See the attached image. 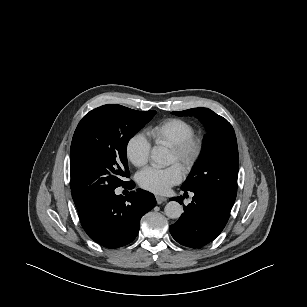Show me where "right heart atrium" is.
Masks as SVG:
<instances>
[{
  "label": "right heart atrium",
  "instance_id": "obj_1",
  "mask_svg": "<svg viewBox=\"0 0 307 307\" xmlns=\"http://www.w3.org/2000/svg\"><path fill=\"white\" fill-rule=\"evenodd\" d=\"M127 159L136 167L145 166L150 158L151 144L142 134L133 135L125 147Z\"/></svg>",
  "mask_w": 307,
  "mask_h": 307
}]
</instances>
